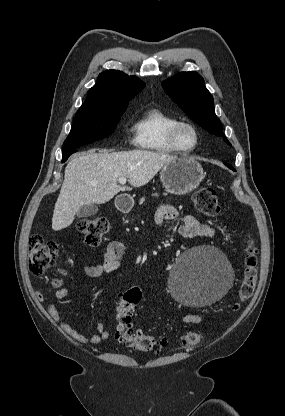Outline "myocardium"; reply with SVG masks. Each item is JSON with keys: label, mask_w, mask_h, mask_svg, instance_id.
Segmentation results:
<instances>
[{"label": "myocardium", "mask_w": 285, "mask_h": 416, "mask_svg": "<svg viewBox=\"0 0 285 416\" xmlns=\"http://www.w3.org/2000/svg\"><path fill=\"white\" fill-rule=\"evenodd\" d=\"M182 127H188L194 133L195 145L191 148H185L179 142L178 133H179L180 128H182ZM169 141H170L172 147L176 150V152H179V153H182V154L194 153L200 145L199 130L196 127V125L193 124L192 122L178 120L171 126V128L169 130Z\"/></svg>", "instance_id": "myocardium-1"}]
</instances>
